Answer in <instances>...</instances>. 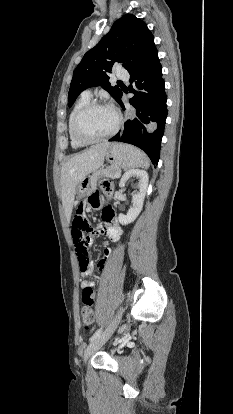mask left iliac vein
Wrapping results in <instances>:
<instances>
[{"mask_svg":"<svg viewBox=\"0 0 233 414\" xmlns=\"http://www.w3.org/2000/svg\"><path fill=\"white\" fill-rule=\"evenodd\" d=\"M122 310L118 312L116 317L114 318L113 322L110 324V326L101 334L99 335L94 341L90 343V345L87 347V349L84 352V362L86 363L89 358L97 351L99 350L105 342L110 338V336L113 334L114 330L117 327V324L121 318Z\"/></svg>","mask_w":233,"mask_h":414,"instance_id":"1","label":"left iliac vein"}]
</instances>
